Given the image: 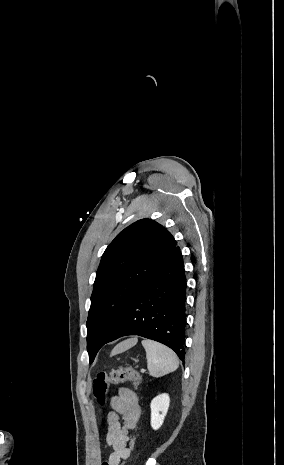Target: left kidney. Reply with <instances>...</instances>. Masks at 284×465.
<instances>
[{"mask_svg": "<svg viewBox=\"0 0 284 465\" xmlns=\"http://www.w3.org/2000/svg\"><path fill=\"white\" fill-rule=\"evenodd\" d=\"M169 395L163 393L151 401V427L154 431L160 429L169 409Z\"/></svg>", "mask_w": 284, "mask_h": 465, "instance_id": "1", "label": "left kidney"}]
</instances>
